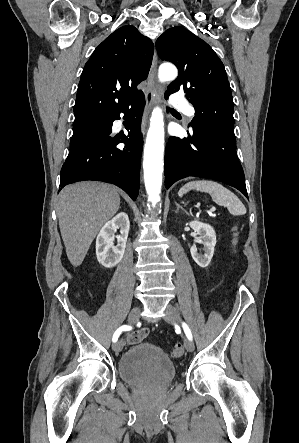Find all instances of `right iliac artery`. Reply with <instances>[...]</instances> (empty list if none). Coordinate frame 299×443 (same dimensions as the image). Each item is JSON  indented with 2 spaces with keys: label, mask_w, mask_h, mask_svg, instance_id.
Listing matches in <instances>:
<instances>
[{
  "label": "right iliac artery",
  "mask_w": 299,
  "mask_h": 443,
  "mask_svg": "<svg viewBox=\"0 0 299 443\" xmlns=\"http://www.w3.org/2000/svg\"><path fill=\"white\" fill-rule=\"evenodd\" d=\"M131 329H132V327L129 326V325H122V326L119 327V328L115 331V333L113 334L112 341L115 343V342L118 340L120 334H121L123 331H129V330H131Z\"/></svg>",
  "instance_id": "obj_1"
}]
</instances>
